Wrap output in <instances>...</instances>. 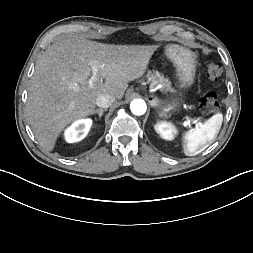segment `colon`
Here are the masks:
<instances>
[{
	"label": "colon",
	"instance_id": "5ec220e1",
	"mask_svg": "<svg viewBox=\"0 0 253 253\" xmlns=\"http://www.w3.org/2000/svg\"><path fill=\"white\" fill-rule=\"evenodd\" d=\"M206 74L208 78L215 80L222 74V67L220 64L209 61L206 64ZM199 107L204 113H213L218 108L217 96L214 92H207L200 100Z\"/></svg>",
	"mask_w": 253,
	"mask_h": 253
}]
</instances>
